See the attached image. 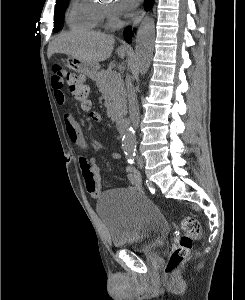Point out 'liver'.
<instances>
[{"mask_svg":"<svg viewBox=\"0 0 245 300\" xmlns=\"http://www.w3.org/2000/svg\"><path fill=\"white\" fill-rule=\"evenodd\" d=\"M114 37L99 32L71 31L59 35L48 48V58L63 53L89 63L108 59L113 51ZM119 52V50H117Z\"/></svg>","mask_w":245,"mask_h":300,"instance_id":"6515ba94","label":"liver"}]
</instances>
